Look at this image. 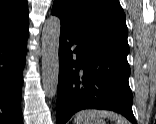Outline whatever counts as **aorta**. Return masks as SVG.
Returning <instances> with one entry per match:
<instances>
[{
    "label": "aorta",
    "instance_id": "762f6f07",
    "mask_svg": "<svg viewBox=\"0 0 156 124\" xmlns=\"http://www.w3.org/2000/svg\"><path fill=\"white\" fill-rule=\"evenodd\" d=\"M60 27V19L51 16L45 21L42 31V85L49 98L57 93Z\"/></svg>",
    "mask_w": 156,
    "mask_h": 124
}]
</instances>
